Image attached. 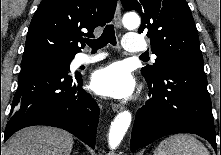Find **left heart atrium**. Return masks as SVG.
<instances>
[{
  "label": "left heart atrium",
  "instance_id": "obj_1",
  "mask_svg": "<svg viewBox=\"0 0 221 155\" xmlns=\"http://www.w3.org/2000/svg\"><path fill=\"white\" fill-rule=\"evenodd\" d=\"M91 87L99 95L126 98L132 94L135 82L127 67L116 62L95 71Z\"/></svg>",
  "mask_w": 221,
  "mask_h": 155
}]
</instances>
